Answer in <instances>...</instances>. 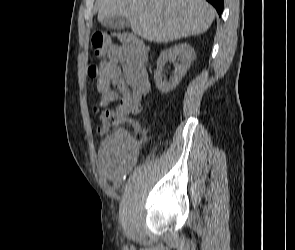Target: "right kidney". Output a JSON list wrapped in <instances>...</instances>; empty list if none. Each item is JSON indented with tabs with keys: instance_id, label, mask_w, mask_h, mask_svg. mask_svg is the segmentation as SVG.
I'll list each match as a JSON object with an SVG mask.
<instances>
[{
	"instance_id": "obj_1",
	"label": "right kidney",
	"mask_w": 295,
	"mask_h": 250,
	"mask_svg": "<svg viewBox=\"0 0 295 250\" xmlns=\"http://www.w3.org/2000/svg\"><path fill=\"white\" fill-rule=\"evenodd\" d=\"M180 60V64L175 62L176 58ZM196 54L194 49L187 43H179L173 47L164 50L158 60L157 68L154 72V80L157 89L162 93H168L173 90L178 83L181 81L182 77L186 74L187 70L190 68L191 62L195 59ZM175 62L174 75L169 81L162 79L163 77V67L168 62Z\"/></svg>"
}]
</instances>
